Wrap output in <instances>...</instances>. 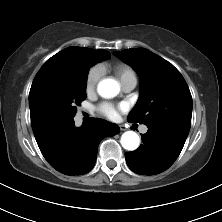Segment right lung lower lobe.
<instances>
[{
	"instance_id": "1",
	"label": "right lung lower lobe",
	"mask_w": 222,
	"mask_h": 222,
	"mask_svg": "<svg viewBox=\"0 0 222 222\" xmlns=\"http://www.w3.org/2000/svg\"><path fill=\"white\" fill-rule=\"evenodd\" d=\"M118 132L116 124L99 118H91L76 128L73 117H56L34 135L47 162L57 171L74 176L92 170L100 141Z\"/></svg>"
}]
</instances>
